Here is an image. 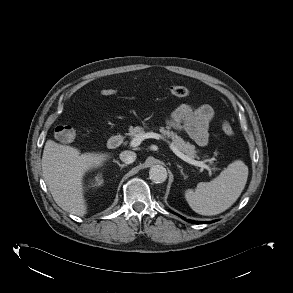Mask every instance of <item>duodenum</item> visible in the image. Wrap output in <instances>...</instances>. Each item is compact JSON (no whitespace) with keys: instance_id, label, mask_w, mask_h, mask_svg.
<instances>
[{"instance_id":"duodenum-1","label":"duodenum","mask_w":293,"mask_h":293,"mask_svg":"<svg viewBox=\"0 0 293 293\" xmlns=\"http://www.w3.org/2000/svg\"><path fill=\"white\" fill-rule=\"evenodd\" d=\"M122 142L123 137L120 134H116L108 139L107 146L109 149H117L121 146Z\"/></svg>"}]
</instances>
